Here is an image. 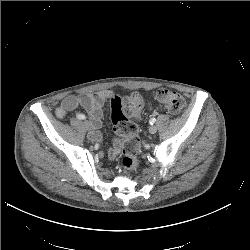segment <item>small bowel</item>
Instances as JSON below:
<instances>
[{"label": "small bowel", "instance_id": "small-bowel-1", "mask_svg": "<svg viewBox=\"0 0 250 250\" xmlns=\"http://www.w3.org/2000/svg\"><path fill=\"white\" fill-rule=\"evenodd\" d=\"M112 93L109 91H100L86 95H69L63 99L60 106L56 109V115L59 118H63L68 112L82 107L86 110L91 120L92 132L89 134V138L92 141L98 142L101 140L99 127L101 125L102 106L111 97ZM151 106L152 101H149L148 107ZM115 152V150L112 151L111 155L113 156Z\"/></svg>", "mask_w": 250, "mask_h": 250}]
</instances>
